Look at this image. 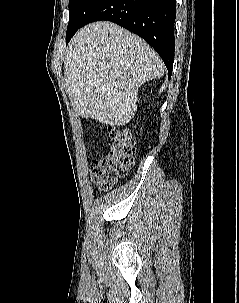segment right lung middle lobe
<instances>
[{
  "label": "right lung middle lobe",
  "mask_w": 239,
  "mask_h": 303,
  "mask_svg": "<svg viewBox=\"0 0 239 303\" xmlns=\"http://www.w3.org/2000/svg\"><path fill=\"white\" fill-rule=\"evenodd\" d=\"M105 0H69V23L66 32L67 43L76 31Z\"/></svg>",
  "instance_id": "right-lung-middle-lobe-1"
}]
</instances>
